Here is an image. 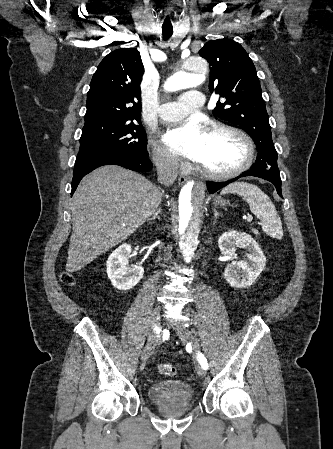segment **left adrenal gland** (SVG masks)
Instances as JSON below:
<instances>
[{
	"label": "left adrenal gland",
	"mask_w": 333,
	"mask_h": 449,
	"mask_svg": "<svg viewBox=\"0 0 333 449\" xmlns=\"http://www.w3.org/2000/svg\"><path fill=\"white\" fill-rule=\"evenodd\" d=\"M222 217V214L218 213L216 209H214V220L213 224L216 223L217 218Z\"/></svg>",
	"instance_id": "a2214340"
}]
</instances>
